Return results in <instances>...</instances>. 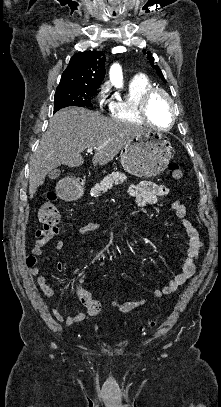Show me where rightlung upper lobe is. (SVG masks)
<instances>
[{
  "label": "right lung upper lobe",
  "instance_id": "right-lung-upper-lobe-1",
  "mask_svg": "<svg viewBox=\"0 0 221 407\" xmlns=\"http://www.w3.org/2000/svg\"><path fill=\"white\" fill-rule=\"evenodd\" d=\"M105 55L100 51H84L73 55L63 72L59 87L98 88L105 76Z\"/></svg>",
  "mask_w": 221,
  "mask_h": 407
}]
</instances>
